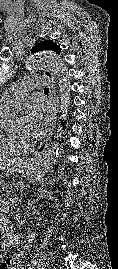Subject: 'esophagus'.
<instances>
[{
	"label": "esophagus",
	"instance_id": "1",
	"mask_svg": "<svg viewBox=\"0 0 118 269\" xmlns=\"http://www.w3.org/2000/svg\"><path fill=\"white\" fill-rule=\"evenodd\" d=\"M43 75L49 83V94H50V99L52 102L51 120H50L48 135L46 139L41 143V145L35 150L34 152L35 156L42 154L45 151L48 143L51 141V137L54 133L55 126H56V119H57L58 97L56 95V86L54 83V77L49 70H45L43 72Z\"/></svg>",
	"mask_w": 118,
	"mask_h": 269
}]
</instances>
